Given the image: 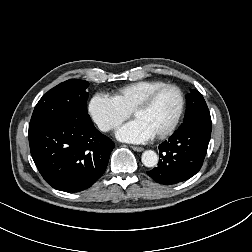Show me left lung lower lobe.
I'll use <instances>...</instances> for the list:
<instances>
[{"label":"left lung lower lobe","instance_id":"0a47b994","mask_svg":"<svg viewBox=\"0 0 252 252\" xmlns=\"http://www.w3.org/2000/svg\"><path fill=\"white\" fill-rule=\"evenodd\" d=\"M211 136V123H193L180 128L159 145L161 159L147 174L156 182L176 184L194 176L201 168Z\"/></svg>","mask_w":252,"mask_h":252}]
</instances>
